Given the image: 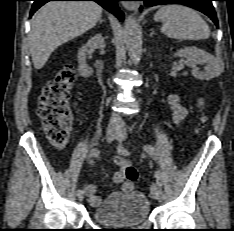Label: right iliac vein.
I'll return each instance as SVG.
<instances>
[{
    "label": "right iliac vein",
    "mask_w": 234,
    "mask_h": 231,
    "mask_svg": "<svg viewBox=\"0 0 234 231\" xmlns=\"http://www.w3.org/2000/svg\"><path fill=\"white\" fill-rule=\"evenodd\" d=\"M120 132L117 129L111 128L108 129L107 133H106V139L107 142H112L114 139H117L119 136ZM78 199L80 201H82L84 199V193H81L78 195Z\"/></svg>",
    "instance_id": "obj_1"
}]
</instances>
